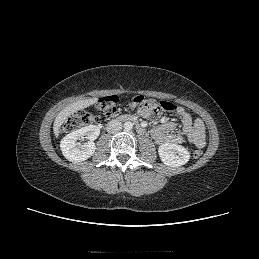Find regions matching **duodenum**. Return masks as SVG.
Masks as SVG:
<instances>
[{
	"label": "duodenum",
	"mask_w": 259,
	"mask_h": 259,
	"mask_svg": "<svg viewBox=\"0 0 259 259\" xmlns=\"http://www.w3.org/2000/svg\"><path fill=\"white\" fill-rule=\"evenodd\" d=\"M117 120L123 121V122H131L136 125L137 131L142 134L144 133V128L138 123L137 119L130 114L121 115L117 118Z\"/></svg>",
	"instance_id": "obj_1"
}]
</instances>
